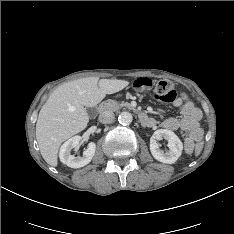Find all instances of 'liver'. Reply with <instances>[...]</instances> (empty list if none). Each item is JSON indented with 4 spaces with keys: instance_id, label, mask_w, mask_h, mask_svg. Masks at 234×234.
Masks as SVG:
<instances>
[{
    "instance_id": "1",
    "label": "liver",
    "mask_w": 234,
    "mask_h": 234,
    "mask_svg": "<svg viewBox=\"0 0 234 234\" xmlns=\"http://www.w3.org/2000/svg\"><path fill=\"white\" fill-rule=\"evenodd\" d=\"M128 84L126 80L87 77L54 90L36 122V139L44 160L51 166H57L62 142L87 127L89 115L86 108L96 106L106 94L116 93Z\"/></svg>"
}]
</instances>
